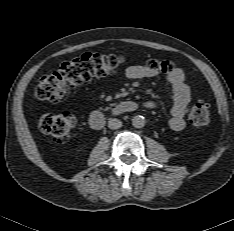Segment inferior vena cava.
Returning <instances> with one entry per match:
<instances>
[{
    "label": "inferior vena cava",
    "instance_id": "obj_1",
    "mask_svg": "<svg viewBox=\"0 0 234 231\" xmlns=\"http://www.w3.org/2000/svg\"><path fill=\"white\" fill-rule=\"evenodd\" d=\"M122 126V122L117 119V118H111L109 121H108V127L110 129H118Z\"/></svg>",
    "mask_w": 234,
    "mask_h": 231
}]
</instances>
